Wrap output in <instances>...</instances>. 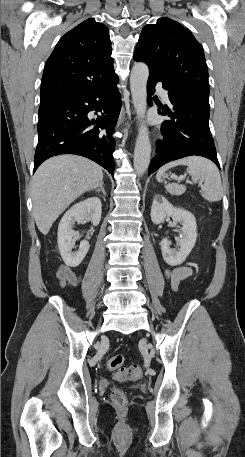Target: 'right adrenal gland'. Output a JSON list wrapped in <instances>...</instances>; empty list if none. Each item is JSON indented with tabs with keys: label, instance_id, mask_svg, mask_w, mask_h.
I'll list each match as a JSON object with an SVG mask.
<instances>
[{
	"label": "right adrenal gland",
	"instance_id": "2a0ac1e0",
	"mask_svg": "<svg viewBox=\"0 0 245 457\" xmlns=\"http://www.w3.org/2000/svg\"><path fill=\"white\" fill-rule=\"evenodd\" d=\"M96 192H103V194H106L103 182H101L99 188H96Z\"/></svg>",
	"mask_w": 245,
	"mask_h": 457
}]
</instances>
